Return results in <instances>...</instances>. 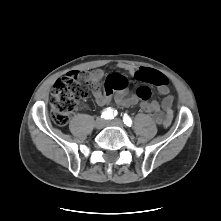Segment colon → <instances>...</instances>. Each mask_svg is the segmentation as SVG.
<instances>
[{"mask_svg":"<svg viewBox=\"0 0 221 221\" xmlns=\"http://www.w3.org/2000/svg\"><path fill=\"white\" fill-rule=\"evenodd\" d=\"M135 77L142 82L158 87L167 86L168 84V79L165 75L149 68H140ZM114 89L110 85L106 86L108 93H112ZM136 95L141 100H148L152 95V90L148 85H141L137 88ZM87 96L88 87L77 72H70L58 79L54 83L50 101L53 121L57 125H65L78 102Z\"/></svg>","mask_w":221,"mask_h":221,"instance_id":"5ec220e1","label":"colon"}]
</instances>
